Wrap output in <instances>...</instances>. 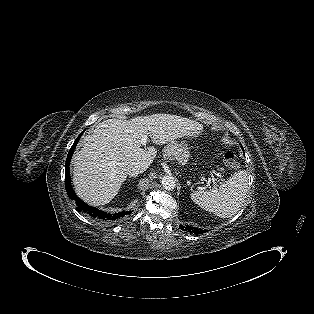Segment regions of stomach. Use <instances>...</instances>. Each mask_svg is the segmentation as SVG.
<instances>
[{
    "instance_id": "0dacf381",
    "label": "stomach",
    "mask_w": 314,
    "mask_h": 314,
    "mask_svg": "<svg viewBox=\"0 0 314 314\" xmlns=\"http://www.w3.org/2000/svg\"><path fill=\"white\" fill-rule=\"evenodd\" d=\"M164 156L176 159L180 164H186L190 157V149L185 141L173 140L164 150Z\"/></svg>"
}]
</instances>
